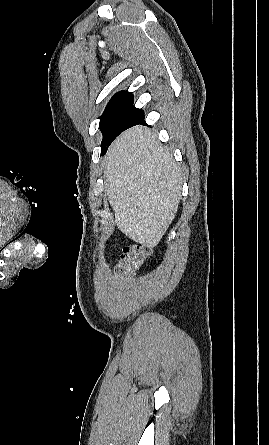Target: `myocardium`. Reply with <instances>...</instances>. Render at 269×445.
<instances>
[{"mask_svg": "<svg viewBox=\"0 0 269 445\" xmlns=\"http://www.w3.org/2000/svg\"><path fill=\"white\" fill-rule=\"evenodd\" d=\"M10 237H11V236H7L6 238L1 239V240H0V245L3 244L4 242H6Z\"/></svg>", "mask_w": 269, "mask_h": 445, "instance_id": "1", "label": "myocardium"}]
</instances>
